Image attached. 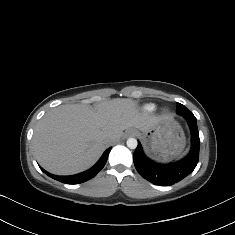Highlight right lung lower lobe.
<instances>
[{
	"label": "right lung lower lobe",
	"instance_id": "right-lung-lower-lobe-1",
	"mask_svg": "<svg viewBox=\"0 0 235 235\" xmlns=\"http://www.w3.org/2000/svg\"><path fill=\"white\" fill-rule=\"evenodd\" d=\"M111 148H108L102 155V157L99 159V161L89 170L76 174V175H71V176H58V175H53L48 173L47 171H45L43 168H41V170L46 173L48 176H50L51 178L60 181L62 183H66V184H79V183H83L86 182L88 180H90L91 178H93L94 176L97 175V173L104 167L107 159H108V155L110 152Z\"/></svg>",
	"mask_w": 235,
	"mask_h": 235
}]
</instances>
